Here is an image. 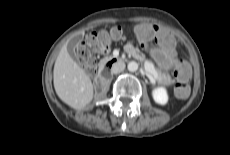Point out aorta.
Returning a JSON list of instances; mask_svg holds the SVG:
<instances>
[{"instance_id": "762f6f07", "label": "aorta", "mask_w": 230, "mask_h": 155, "mask_svg": "<svg viewBox=\"0 0 230 155\" xmlns=\"http://www.w3.org/2000/svg\"><path fill=\"white\" fill-rule=\"evenodd\" d=\"M138 67H139V65H138V63L135 62V61H131V62H129L128 65H127V69H128V71H130V72H136V71L138 70Z\"/></svg>"}]
</instances>
